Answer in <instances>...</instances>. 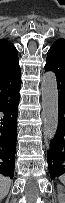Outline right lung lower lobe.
<instances>
[{"label":"right lung lower lobe","instance_id":"right-lung-lower-lobe-1","mask_svg":"<svg viewBox=\"0 0 65 203\" xmlns=\"http://www.w3.org/2000/svg\"><path fill=\"white\" fill-rule=\"evenodd\" d=\"M21 71L0 73V174L13 178Z\"/></svg>","mask_w":65,"mask_h":203}]
</instances>
